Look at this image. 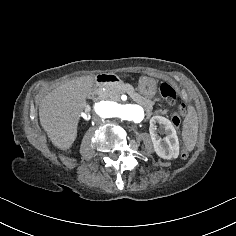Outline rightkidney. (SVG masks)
<instances>
[{"label": "right kidney", "instance_id": "right-kidney-1", "mask_svg": "<svg viewBox=\"0 0 236 236\" xmlns=\"http://www.w3.org/2000/svg\"><path fill=\"white\" fill-rule=\"evenodd\" d=\"M76 136H77V131L76 129L71 133L70 135V140L71 141H74L76 139Z\"/></svg>", "mask_w": 236, "mask_h": 236}]
</instances>
